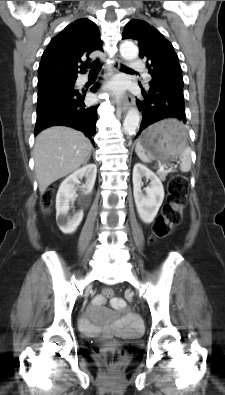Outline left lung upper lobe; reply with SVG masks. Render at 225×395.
<instances>
[{"label":"left lung upper lobe","mask_w":225,"mask_h":395,"mask_svg":"<svg viewBox=\"0 0 225 395\" xmlns=\"http://www.w3.org/2000/svg\"><path fill=\"white\" fill-rule=\"evenodd\" d=\"M123 39L138 41L139 56L147 59L152 76L150 87L178 86L183 88L182 70L172 44L149 23L132 19L123 31Z\"/></svg>","instance_id":"obj_1"}]
</instances>
